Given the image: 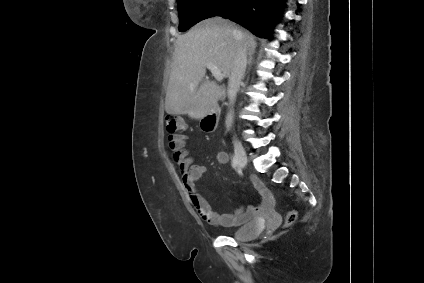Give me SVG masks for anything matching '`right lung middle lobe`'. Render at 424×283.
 Listing matches in <instances>:
<instances>
[{
    "instance_id": "dd1d6c3e",
    "label": "right lung middle lobe",
    "mask_w": 424,
    "mask_h": 283,
    "mask_svg": "<svg viewBox=\"0 0 424 283\" xmlns=\"http://www.w3.org/2000/svg\"><path fill=\"white\" fill-rule=\"evenodd\" d=\"M179 30L186 31L201 20L228 10L234 0H177Z\"/></svg>"
}]
</instances>
